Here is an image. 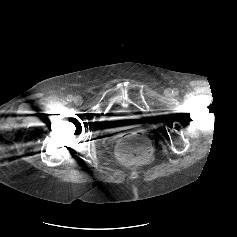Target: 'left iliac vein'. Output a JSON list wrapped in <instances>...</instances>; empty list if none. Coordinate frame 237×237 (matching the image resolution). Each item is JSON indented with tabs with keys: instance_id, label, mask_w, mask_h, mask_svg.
<instances>
[{
	"instance_id": "left-iliac-vein-1",
	"label": "left iliac vein",
	"mask_w": 237,
	"mask_h": 237,
	"mask_svg": "<svg viewBox=\"0 0 237 237\" xmlns=\"http://www.w3.org/2000/svg\"><path fill=\"white\" fill-rule=\"evenodd\" d=\"M167 94L169 95V94H170V91H167Z\"/></svg>"
}]
</instances>
